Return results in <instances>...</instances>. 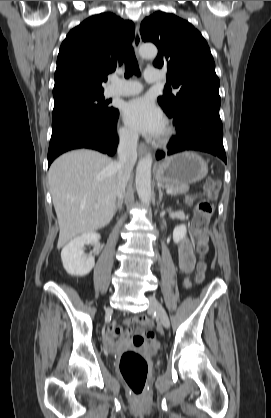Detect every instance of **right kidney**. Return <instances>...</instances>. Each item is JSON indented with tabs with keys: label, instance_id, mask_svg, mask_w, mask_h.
<instances>
[{
	"label": "right kidney",
	"instance_id": "right-kidney-1",
	"mask_svg": "<svg viewBox=\"0 0 271 418\" xmlns=\"http://www.w3.org/2000/svg\"><path fill=\"white\" fill-rule=\"evenodd\" d=\"M100 235L96 232L84 233L71 240L61 251V259L64 269L74 276L87 275L95 265L93 256H86L83 252L84 245H96Z\"/></svg>",
	"mask_w": 271,
	"mask_h": 418
}]
</instances>
